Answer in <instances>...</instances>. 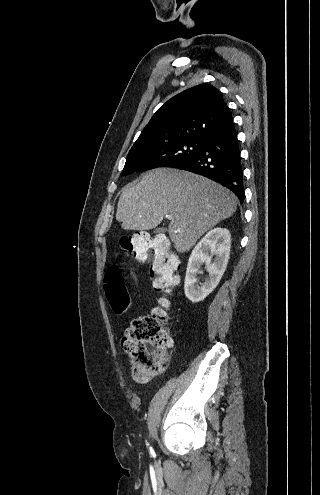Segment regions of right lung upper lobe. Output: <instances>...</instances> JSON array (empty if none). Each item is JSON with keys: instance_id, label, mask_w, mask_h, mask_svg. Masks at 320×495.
I'll list each match as a JSON object with an SVG mask.
<instances>
[{"instance_id": "cb5924a9", "label": "right lung upper lobe", "mask_w": 320, "mask_h": 495, "mask_svg": "<svg viewBox=\"0 0 320 495\" xmlns=\"http://www.w3.org/2000/svg\"><path fill=\"white\" fill-rule=\"evenodd\" d=\"M232 119L222 93L213 85L203 83L175 95L163 104L142 130L133 147L185 138L204 139Z\"/></svg>"}]
</instances>
